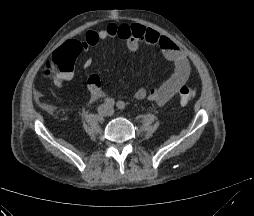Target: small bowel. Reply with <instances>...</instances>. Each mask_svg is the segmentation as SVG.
I'll return each instance as SVG.
<instances>
[{
	"mask_svg": "<svg viewBox=\"0 0 254 216\" xmlns=\"http://www.w3.org/2000/svg\"><path fill=\"white\" fill-rule=\"evenodd\" d=\"M108 38H120L126 42L127 49L130 52H136L142 42L156 46L162 50L164 57L173 62L175 69L173 74L160 86L153 89H139L135 96L139 99H149L159 106L165 105L187 82L190 76V64L186 55L178 46L168 37L158 33L155 30L146 28L140 24H109L101 30H89L82 42H79L83 49H88L96 45L99 41ZM78 41L68 40L62 45V50L71 52L72 47ZM54 52L50 58L55 57ZM92 64L90 58L84 62V68L88 69ZM73 71L59 74L53 78V83L60 87L65 81L73 78ZM88 85L91 92V100H98L106 95V91L98 76L92 75L88 79Z\"/></svg>",
	"mask_w": 254,
	"mask_h": 216,
	"instance_id": "small-bowel-1",
	"label": "small bowel"
}]
</instances>
